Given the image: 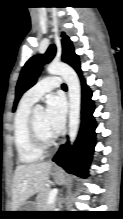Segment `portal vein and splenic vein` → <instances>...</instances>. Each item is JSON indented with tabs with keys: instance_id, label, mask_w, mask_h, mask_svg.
<instances>
[{
	"instance_id": "1",
	"label": "portal vein and splenic vein",
	"mask_w": 123,
	"mask_h": 219,
	"mask_svg": "<svg viewBox=\"0 0 123 219\" xmlns=\"http://www.w3.org/2000/svg\"><path fill=\"white\" fill-rule=\"evenodd\" d=\"M57 193H58V189H57V188L52 189V190L50 191V194H49V196H48V204H49V205H51V204L54 203L55 198H56V196H57Z\"/></svg>"
}]
</instances>
